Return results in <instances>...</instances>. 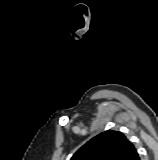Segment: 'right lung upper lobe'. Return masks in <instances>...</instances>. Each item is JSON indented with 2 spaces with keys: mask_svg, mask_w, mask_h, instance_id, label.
Returning <instances> with one entry per match:
<instances>
[{
  "mask_svg": "<svg viewBox=\"0 0 158 160\" xmlns=\"http://www.w3.org/2000/svg\"><path fill=\"white\" fill-rule=\"evenodd\" d=\"M70 160H139V155L123 133L108 130L88 141Z\"/></svg>",
  "mask_w": 158,
  "mask_h": 160,
  "instance_id": "right-lung-upper-lobe-1",
  "label": "right lung upper lobe"
}]
</instances>
